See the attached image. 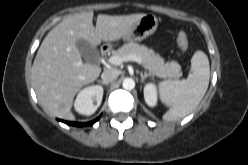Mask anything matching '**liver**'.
<instances>
[{"label": "liver", "mask_w": 248, "mask_h": 165, "mask_svg": "<svg viewBox=\"0 0 248 165\" xmlns=\"http://www.w3.org/2000/svg\"><path fill=\"white\" fill-rule=\"evenodd\" d=\"M93 11L66 16L44 38L31 69L32 85L41 107L59 118L72 119L74 96L95 81L101 68L83 63L79 40L98 46L128 34L145 14L126 16L98 15L94 27Z\"/></svg>", "instance_id": "liver-1"}]
</instances>
